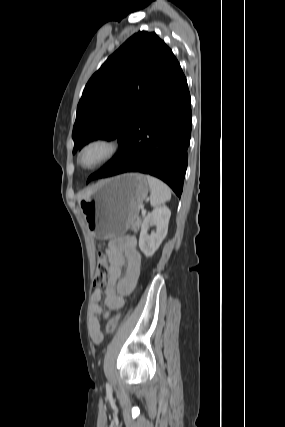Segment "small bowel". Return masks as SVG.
<instances>
[{"label": "small bowel", "mask_w": 285, "mask_h": 427, "mask_svg": "<svg viewBox=\"0 0 285 427\" xmlns=\"http://www.w3.org/2000/svg\"><path fill=\"white\" fill-rule=\"evenodd\" d=\"M109 261L108 282L104 288V311L99 302L102 290L97 289L91 296V306L95 317L92 321L91 337L95 344L102 343L104 334L98 317L108 318L109 313L124 305V297L129 295L138 280L142 265V255L137 247L134 236H122L112 240L107 250ZM126 266L124 276H121L123 266Z\"/></svg>", "instance_id": "1"}]
</instances>
